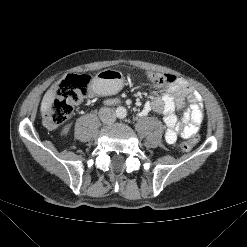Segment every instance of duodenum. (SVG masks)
<instances>
[{"mask_svg":"<svg viewBox=\"0 0 247 247\" xmlns=\"http://www.w3.org/2000/svg\"><path fill=\"white\" fill-rule=\"evenodd\" d=\"M118 101L117 100H115V99H112V100H108V103L109 104H116Z\"/></svg>","mask_w":247,"mask_h":247,"instance_id":"1","label":"duodenum"}]
</instances>
